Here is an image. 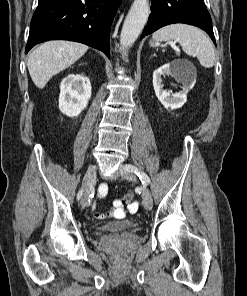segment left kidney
Masks as SVG:
<instances>
[{"label": "left kidney", "instance_id": "1", "mask_svg": "<svg viewBox=\"0 0 247 296\" xmlns=\"http://www.w3.org/2000/svg\"><path fill=\"white\" fill-rule=\"evenodd\" d=\"M172 76L177 82L182 83V91L171 94L162 89V76ZM196 83V74L194 69L182 60L167 63L153 73V87L155 94L161 104L166 109L181 108L187 101V93Z\"/></svg>", "mask_w": 247, "mask_h": 296}]
</instances>
